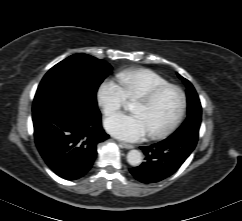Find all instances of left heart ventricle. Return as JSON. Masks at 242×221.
I'll return each mask as SVG.
<instances>
[{"instance_id": "1", "label": "left heart ventricle", "mask_w": 242, "mask_h": 221, "mask_svg": "<svg viewBox=\"0 0 242 221\" xmlns=\"http://www.w3.org/2000/svg\"><path fill=\"white\" fill-rule=\"evenodd\" d=\"M179 105L178 93L167 90L151 104L136 101L132 112L143 118L148 133H151L165 128L176 116Z\"/></svg>"}]
</instances>
